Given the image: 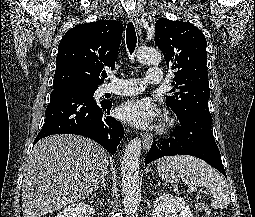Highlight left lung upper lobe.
Segmentation results:
<instances>
[{"label":"left lung upper lobe","instance_id":"5c2ea615","mask_svg":"<svg viewBox=\"0 0 255 217\" xmlns=\"http://www.w3.org/2000/svg\"><path fill=\"white\" fill-rule=\"evenodd\" d=\"M155 43L164 54L167 67L176 72L175 89L166 97V104L184 119L194 113H208L210 90L206 67V39L189 22L160 18L155 24ZM177 90V91H176Z\"/></svg>","mask_w":255,"mask_h":217}]
</instances>
